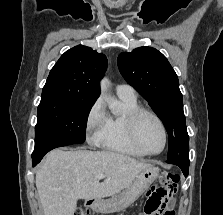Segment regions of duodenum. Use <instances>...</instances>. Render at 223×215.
<instances>
[{
  "instance_id": "410a0bca",
  "label": "duodenum",
  "mask_w": 223,
  "mask_h": 215,
  "mask_svg": "<svg viewBox=\"0 0 223 215\" xmlns=\"http://www.w3.org/2000/svg\"><path fill=\"white\" fill-rule=\"evenodd\" d=\"M89 207L96 213H100L104 207V201L102 198H93L88 202Z\"/></svg>"
}]
</instances>
